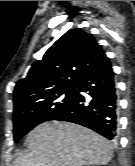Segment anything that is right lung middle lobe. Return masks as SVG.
Segmentation results:
<instances>
[{
	"label": "right lung middle lobe",
	"mask_w": 135,
	"mask_h": 166,
	"mask_svg": "<svg viewBox=\"0 0 135 166\" xmlns=\"http://www.w3.org/2000/svg\"><path fill=\"white\" fill-rule=\"evenodd\" d=\"M75 87L62 90L40 101L29 103L14 109V142H18L38 124L52 120L60 111L69 107L74 101Z\"/></svg>",
	"instance_id": "dd1d6c3e"
}]
</instances>
